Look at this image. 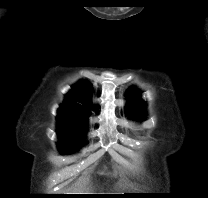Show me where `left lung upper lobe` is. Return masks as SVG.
Returning a JSON list of instances; mask_svg holds the SVG:
<instances>
[{
  "mask_svg": "<svg viewBox=\"0 0 208 198\" xmlns=\"http://www.w3.org/2000/svg\"><path fill=\"white\" fill-rule=\"evenodd\" d=\"M140 93L132 88L128 92V97L130 99V104L127 109L131 117H136V119L143 120L145 117V102L138 99Z\"/></svg>",
  "mask_w": 208,
  "mask_h": 198,
  "instance_id": "left-lung-upper-lobe-1",
  "label": "left lung upper lobe"
}]
</instances>
